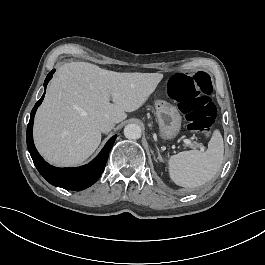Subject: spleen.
Instances as JSON below:
<instances>
[{"label":"spleen","mask_w":265,"mask_h":265,"mask_svg":"<svg viewBox=\"0 0 265 265\" xmlns=\"http://www.w3.org/2000/svg\"><path fill=\"white\" fill-rule=\"evenodd\" d=\"M223 156V138L219 130H215L205 152L190 150L171 156L168 161L170 177L182 187L201 186L216 175Z\"/></svg>","instance_id":"spleen-1"}]
</instances>
